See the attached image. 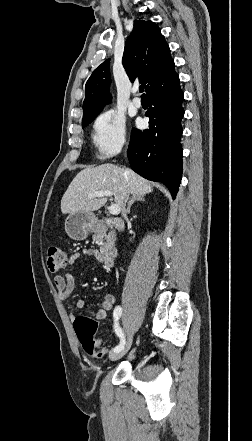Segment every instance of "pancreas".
Returning <instances> with one entry per match:
<instances>
[{
	"mask_svg": "<svg viewBox=\"0 0 252 441\" xmlns=\"http://www.w3.org/2000/svg\"><path fill=\"white\" fill-rule=\"evenodd\" d=\"M106 226H101L98 232L93 236L94 241H98L100 245V256L102 258L105 256L109 250L114 247V242L116 240V234L114 231H109ZM104 238V239H103Z\"/></svg>",
	"mask_w": 252,
	"mask_h": 441,
	"instance_id": "cf45deb5",
	"label": "pancreas"
}]
</instances>
